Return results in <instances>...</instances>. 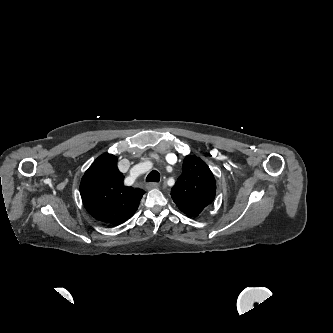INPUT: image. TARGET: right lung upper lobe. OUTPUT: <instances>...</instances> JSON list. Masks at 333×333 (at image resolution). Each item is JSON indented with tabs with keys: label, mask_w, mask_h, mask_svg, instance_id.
<instances>
[{
	"label": "right lung upper lobe",
	"mask_w": 333,
	"mask_h": 333,
	"mask_svg": "<svg viewBox=\"0 0 333 333\" xmlns=\"http://www.w3.org/2000/svg\"><path fill=\"white\" fill-rule=\"evenodd\" d=\"M114 155L99 156L82 177L80 194L87 212L104 223L119 225L131 218L145 193L124 186Z\"/></svg>",
	"instance_id": "cb5924a9"
}]
</instances>
